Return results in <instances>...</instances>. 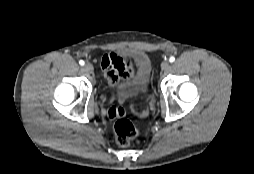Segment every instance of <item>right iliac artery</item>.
<instances>
[{"instance_id": "82829eb1", "label": "right iliac artery", "mask_w": 254, "mask_h": 174, "mask_svg": "<svg viewBox=\"0 0 254 174\" xmlns=\"http://www.w3.org/2000/svg\"><path fill=\"white\" fill-rule=\"evenodd\" d=\"M84 63H85V62H84L83 60H80V61H79V64H80L81 66H83Z\"/></svg>"}]
</instances>
